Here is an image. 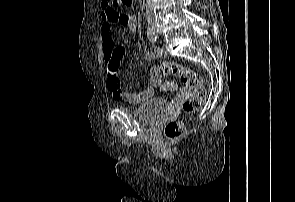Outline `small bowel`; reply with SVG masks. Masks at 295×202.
I'll return each instance as SVG.
<instances>
[{
    "mask_svg": "<svg viewBox=\"0 0 295 202\" xmlns=\"http://www.w3.org/2000/svg\"><path fill=\"white\" fill-rule=\"evenodd\" d=\"M101 38L103 44V58L106 65V81L109 91L117 100H123L132 104H138L152 98L155 91L162 82L161 75H154V71H150V86L140 92H134L123 89L119 78V64L125 53L123 44L115 45L111 35L113 25H126L129 34H133L137 27V17L134 14L122 15L117 8H114L108 0L101 2ZM126 16L128 21L126 24L121 23V17ZM162 55V51L156 47H150L147 51V59L153 60ZM184 98H190L189 85H180L179 98H174L171 107H180V103H184Z\"/></svg>",
    "mask_w": 295,
    "mask_h": 202,
    "instance_id": "obj_1",
    "label": "small bowel"
}]
</instances>
